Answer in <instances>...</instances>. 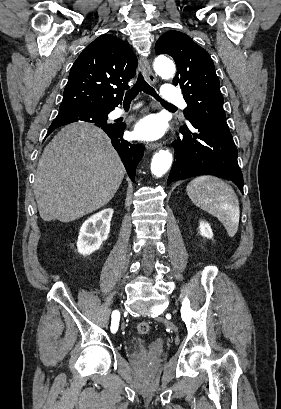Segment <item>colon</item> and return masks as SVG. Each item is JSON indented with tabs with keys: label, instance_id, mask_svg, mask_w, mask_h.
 <instances>
[{
	"label": "colon",
	"instance_id": "5ec220e1",
	"mask_svg": "<svg viewBox=\"0 0 281 409\" xmlns=\"http://www.w3.org/2000/svg\"><path fill=\"white\" fill-rule=\"evenodd\" d=\"M150 331V324L148 322H140L137 325V332L141 335H146Z\"/></svg>",
	"mask_w": 281,
	"mask_h": 409
}]
</instances>
